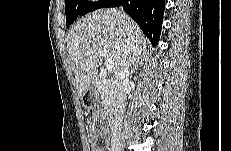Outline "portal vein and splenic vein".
<instances>
[{"label": "portal vein and splenic vein", "instance_id": "portal-vein-and-splenic-vein-1", "mask_svg": "<svg viewBox=\"0 0 231 151\" xmlns=\"http://www.w3.org/2000/svg\"><path fill=\"white\" fill-rule=\"evenodd\" d=\"M101 56L104 57V58H107V56H108L107 51L106 50H102L101 51ZM104 65H105V68L107 70H111L114 67V62L111 59L107 58L104 61Z\"/></svg>", "mask_w": 231, "mask_h": 151}]
</instances>
